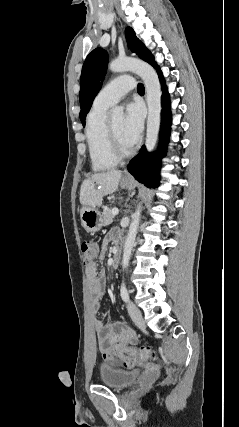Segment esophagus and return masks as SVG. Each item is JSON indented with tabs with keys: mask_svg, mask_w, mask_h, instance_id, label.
<instances>
[{
	"mask_svg": "<svg viewBox=\"0 0 239 427\" xmlns=\"http://www.w3.org/2000/svg\"><path fill=\"white\" fill-rule=\"evenodd\" d=\"M125 179H128V180L131 179V175L130 174H126L125 175Z\"/></svg>",
	"mask_w": 239,
	"mask_h": 427,
	"instance_id": "34e87169",
	"label": "esophagus"
}]
</instances>
